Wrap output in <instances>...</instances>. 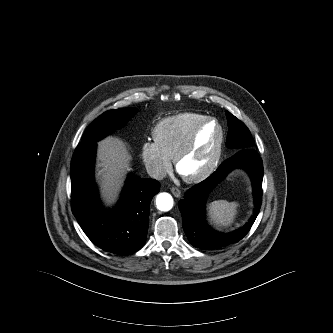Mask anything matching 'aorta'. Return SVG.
I'll list each match as a JSON object with an SVG mask.
<instances>
[{"mask_svg":"<svg viewBox=\"0 0 333 333\" xmlns=\"http://www.w3.org/2000/svg\"><path fill=\"white\" fill-rule=\"evenodd\" d=\"M174 204L173 198L169 193H160L156 197V206L160 211H169Z\"/></svg>","mask_w":333,"mask_h":333,"instance_id":"aorta-1","label":"aorta"}]
</instances>
